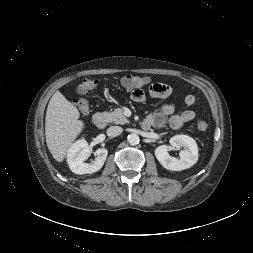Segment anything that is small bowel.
I'll return each instance as SVG.
<instances>
[{
    "instance_id": "obj_1",
    "label": "small bowel",
    "mask_w": 253,
    "mask_h": 253,
    "mask_svg": "<svg viewBox=\"0 0 253 253\" xmlns=\"http://www.w3.org/2000/svg\"><path fill=\"white\" fill-rule=\"evenodd\" d=\"M172 94V88L163 83H153L149 86L148 93H145L142 89H134L131 93V98L133 101L142 103L150 98H167ZM196 103V98L193 95H187L184 98L183 109L176 113V105L172 102L163 104L159 110L151 113L145 122H148L150 126L157 128L163 127L166 122L173 129H179L184 123L194 119L196 113L193 106Z\"/></svg>"
}]
</instances>
